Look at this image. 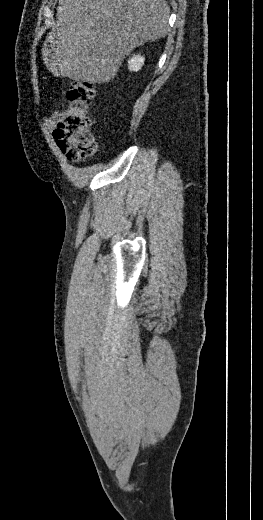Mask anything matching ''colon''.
Segmentation results:
<instances>
[{
  "instance_id": "colon-1",
  "label": "colon",
  "mask_w": 263,
  "mask_h": 520,
  "mask_svg": "<svg viewBox=\"0 0 263 520\" xmlns=\"http://www.w3.org/2000/svg\"><path fill=\"white\" fill-rule=\"evenodd\" d=\"M91 82H73L67 91V104L53 134L60 150L71 161H81L96 153V143L90 133L89 110L95 97Z\"/></svg>"
}]
</instances>
